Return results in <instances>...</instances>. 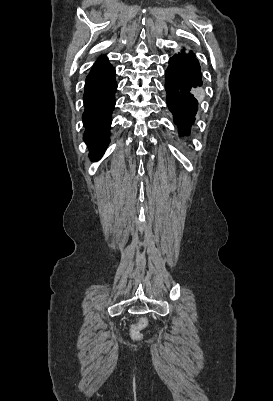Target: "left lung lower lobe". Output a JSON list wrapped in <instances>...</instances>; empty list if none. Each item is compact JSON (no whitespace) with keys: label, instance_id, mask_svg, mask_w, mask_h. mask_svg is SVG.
I'll use <instances>...</instances> for the list:
<instances>
[{"label":"left lung lower lobe","instance_id":"left-lung-lower-lobe-1","mask_svg":"<svg viewBox=\"0 0 273 401\" xmlns=\"http://www.w3.org/2000/svg\"><path fill=\"white\" fill-rule=\"evenodd\" d=\"M201 78V68L192 51L186 54L182 50L169 59L165 71L166 102L180 134L188 135L195 120L198 103L192 90L202 85Z\"/></svg>","mask_w":273,"mask_h":401}]
</instances>
